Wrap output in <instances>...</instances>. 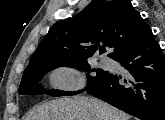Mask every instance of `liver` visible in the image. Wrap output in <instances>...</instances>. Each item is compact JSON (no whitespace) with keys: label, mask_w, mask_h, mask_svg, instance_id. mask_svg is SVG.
<instances>
[{"label":"liver","mask_w":165,"mask_h":120,"mask_svg":"<svg viewBox=\"0 0 165 120\" xmlns=\"http://www.w3.org/2000/svg\"><path fill=\"white\" fill-rule=\"evenodd\" d=\"M125 112L95 98H61L34 108L26 120H130Z\"/></svg>","instance_id":"6515ba94"}]
</instances>
